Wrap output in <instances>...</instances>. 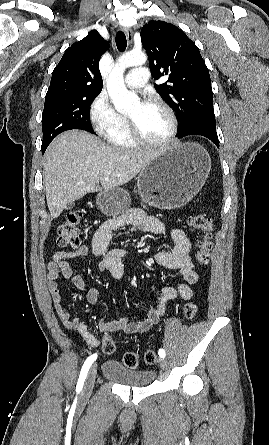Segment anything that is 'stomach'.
Masks as SVG:
<instances>
[{
  "label": "stomach",
  "instance_id": "obj_1",
  "mask_svg": "<svg viewBox=\"0 0 269 445\" xmlns=\"http://www.w3.org/2000/svg\"><path fill=\"white\" fill-rule=\"evenodd\" d=\"M211 169L207 151L192 142L162 150L143 168L137 178L142 200L159 209L185 206L201 190ZM96 203L103 214L118 217L130 207L129 193L119 187L103 190Z\"/></svg>",
  "mask_w": 269,
  "mask_h": 445
}]
</instances>
